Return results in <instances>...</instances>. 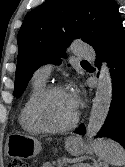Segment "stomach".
<instances>
[{"mask_svg":"<svg viewBox=\"0 0 125 167\" xmlns=\"http://www.w3.org/2000/svg\"><path fill=\"white\" fill-rule=\"evenodd\" d=\"M65 147L72 155H78L84 150L82 140L77 137L68 138ZM5 151L11 157L32 158L40 153L41 144L33 136L15 133L7 138Z\"/></svg>","mask_w":125,"mask_h":167,"instance_id":"obj_1","label":"stomach"}]
</instances>
